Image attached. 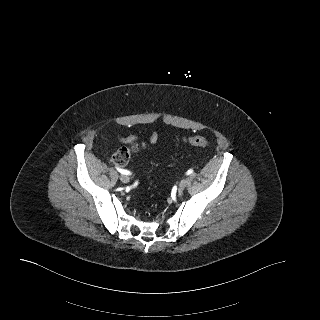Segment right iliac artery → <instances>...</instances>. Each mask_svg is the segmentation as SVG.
Here are the masks:
<instances>
[{
    "label": "right iliac artery",
    "instance_id": "right-iliac-artery-1",
    "mask_svg": "<svg viewBox=\"0 0 320 320\" xmlns=\"http://www.w3.org/2000/svg\"><path fill=\"white\" fill-rule=\"evenodd\" d=\"M116 169L121 173V174H124V175H128L130 172L127 171V170H124V169H121V168H118L116 167Z\"/></svg>",
    "mask_w": 320,
    "mask_h": 320
}]
</instances>
